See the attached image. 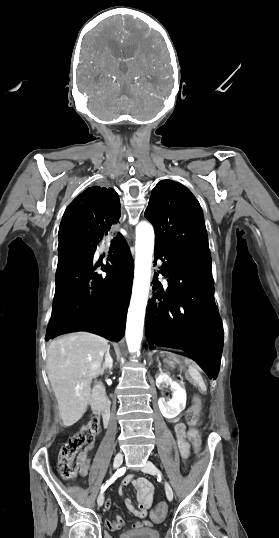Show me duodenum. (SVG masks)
<instances>
[{
    "mask_svg": "<svg viewBox=\"0 0 279 538\" xmlns=\"http://www.w3.org/2000/svg\"><path fill=\"white\" fill-rule=\"evenodd\" d=\"M103 383L98 381L96 386H94V391L96 394L91 396L92 401L90 402V411L93 414L102 413V423L101 428L108 427L110 422L111 409H109L110 401H108L109 396L106 394V390H102ZM104 406V408H103Z\"/></svg>",
    "mask_w": 279,
    "mask_h": 538,
    "instance_id": "duodenum-1",
    "label": "duodenum"
}]
</instances>
